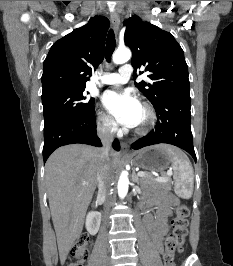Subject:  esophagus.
<instances>
[{"instance_id": "34e87169", "label": "esophagus", "mask_w": 233, "mask_h": 266, "mask_svg": "<svg viewBox=\"0 0 233 266\" xmlns=\"http://www.w3.org/2000/svg\"><path fill=\"white\" fill-rule=\"evenodd\" d=\"M111 23H112V26H113L115 33L117 34L118 30H119V25H120V18H119V15L117 14V12H115V11L111 13ZM127 150H128L127 143L122 141L121 142V151L123 153H126Z\"/></svg>"}]
</instances>
